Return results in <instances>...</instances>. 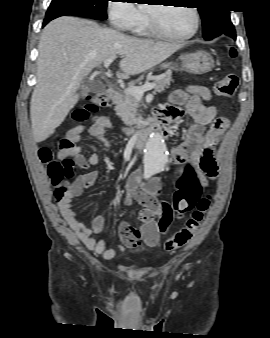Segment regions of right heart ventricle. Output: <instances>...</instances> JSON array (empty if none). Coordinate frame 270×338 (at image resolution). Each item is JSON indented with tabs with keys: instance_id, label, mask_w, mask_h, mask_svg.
Returning <instances> with one entry per match:
<instances>
[{
	"instance_id": "obj_1",
	"label": "right heart ventricle",
	"mask_w": 270,
	"mask_h": 338,
	"mask_svg": "<svg viewBox=\"0 0 270 338\" xmlns=\"http://www.w3.org/2000/svg\"><path fill=\"white\" fill-rule=\"evenodd\" d=\"M131 30L133 32L141 34V35L149 36L151 34L147 20H146V22H144L141 25H137V26L132 27Z\"/></svg>"
}]
</instances>
